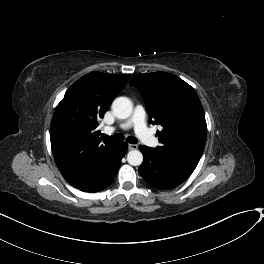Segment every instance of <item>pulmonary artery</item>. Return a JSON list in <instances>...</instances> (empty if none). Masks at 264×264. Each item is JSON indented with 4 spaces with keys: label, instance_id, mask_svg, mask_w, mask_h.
<instances>
[{
    "label": "pulmonary artery",
    "instance_id": "obj_1",
    "mask_svg": "<svg viewBox=\"0 0 264 264\" xmlns=\"http://www.w3.org/2000/svg\"><path fill=\"white\" fill-rule=\"evenodd\" d=\"M129 128H134L136 135L144 144L149 146H155L157 144L155 135L146 127L145 112L142 106H135L132 116L120 125V129L122 130H127ZM116 130L117 128L112 126L105 129L108 134H112Z\"/></svg>",
    "mask_w": 264,
    "mask_h": 264
}]
</instances>
